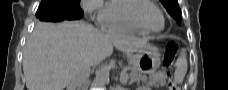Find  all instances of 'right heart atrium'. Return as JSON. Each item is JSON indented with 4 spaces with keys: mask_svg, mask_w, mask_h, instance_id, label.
<instances>
[{
    "mask_svg": "<svg viewBox=\"0 0 228 90\" xmlns=\"http://www.w3.org/2000/svg\"><path fill=\"white\" fill-rule=\"evenodd\" d=\"M82 8L87 16L97 23H103L104 20V3L102 0H83Z\"/></svg>",
    "mask_w": 228,
    "mask_h": 90,
    "instance_id": "1",
    "label": "right heart atrium"
}]
</instances>
